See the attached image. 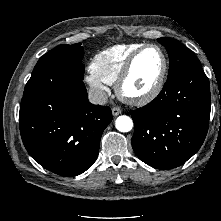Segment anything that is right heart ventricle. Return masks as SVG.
Returning a JSON list of instances; mask_svg holds the SVG:
<instances>
[{
	"mask_svg": "<svg viewBox=\"0 0 221 221\" xmlns=\"http://www.w3.org/2000/svg\"><path fill=\"white\" fill-rule=\"evenodd\" d=\"M142 45L118 44L100 51L91 61V73L106 84H114L130 55Z\"/></svg>",
	"mask_w": 221,
	"mask_h": 221,
	"instance_id": "e07e8e85",
	"label": "right heart ventricle"
}]
</instances>
